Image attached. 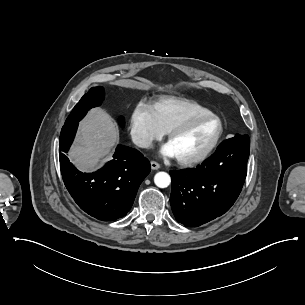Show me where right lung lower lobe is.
Listing matches in <instances>:
<instances>
[{
	"label": "right lung lower lobe",
	"mask_w": 305,
	"mask_h": 305,
	"mask_svg": "<svg viewBox=\"0 0 305 305\" xmlns=\"http://www.w3.org/2000/svg\"><path fill=\"white\" fill-rule=\"evenodd\" d=\"M79 121L64 124L59 160L64 184L78 206L98 220L121 218L130 210L150 163L136 149L118 145L113 160L94 173L78 171L64 153L74 139Z\"/></svg>",
	"instance_id": "1"
}]
</instances>
